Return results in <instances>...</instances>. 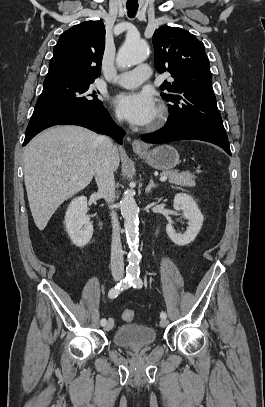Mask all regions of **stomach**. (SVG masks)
I'll return each instance as SVG.
<instances>
[{
	"label": "stomach",
	"instance_id": "stomach-1",
	"mask_svg": "<svg viewBox=\"0 0 265 407\" xmlns=\"http://www.w3.org/2000/svg\"><path fill=\"white\" fill-rule=\"evenodd\" d=\"M137 154L148 165L162 171H170L179 163L178 151L170 145H160L150 151H141Z\"/></svg>",
	"mask_w": 265,
	"mask_h": 407
}]
</instances>
